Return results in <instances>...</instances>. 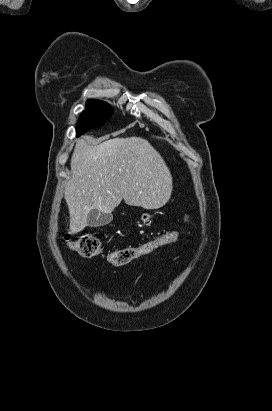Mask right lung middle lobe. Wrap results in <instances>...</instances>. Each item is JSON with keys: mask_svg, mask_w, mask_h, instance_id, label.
<instances>
[{"mask_svg": "<svg viewBox=\"0 0 272 411\" xmlns=\"http://www.w3.org/2000/svg\"><path fill=\"white\" fill-rule=\"evenodd\" d=\"M86 105V110L81 113L77 123V136L89 129L102 126L113 113L112 107L103 101L88 100Z\"/></svg>", "mask_w": 272, "mask_h": 411, "instance_id": "1", "label": "right lung middle lobe"}]
</instances>
